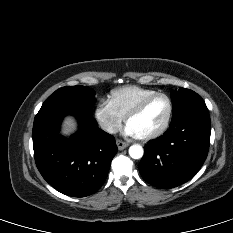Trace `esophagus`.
Masks as SVG:
<instances>
[{"mask_svg": "<svg viewBox=\"0 0 233 233\" xmlns=\"http://www.w3.org/2000/svg\"><path fill=\"white\" fill-rule=\"evenodd\" d=\"M116 144H117V147H118L119 150H123L126 147H128V145H129L128 143H126V142H124V141H122L120 139L116 140Z\"/></svg>", "mask_w": 233, "mask_h": 233, "instance_id": "obj_1", "label": "esophagus"}]
</instances>
